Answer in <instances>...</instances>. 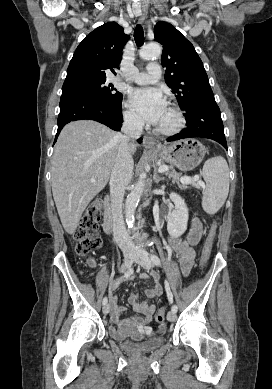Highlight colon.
Listing matches in <instances>:
<instances>
[{"instance_id":"colon-1","label":"colon","mask_w":272,"mask_h":389,"mask_svg":"<svg viewBox=\"0 0 272 389\" xmlns=\"http://www.w3.org/2000/svg\"><path fill=\"white\" fill-rule=\"evenodd\" d=\"M102 214V205L100 202H93L85 211L81 218L79 227L74 233L75 252L78 256H86L97 250L102 245L101 237L98 233L99 221ZM218 223L213 220L206 237L203 254L202 266H205L209 260L211 250L216 238ZM159 324L165 321V308H160L155 316Z\"/></svg>"}]
</instances>
